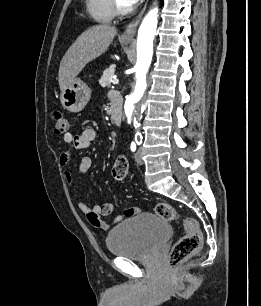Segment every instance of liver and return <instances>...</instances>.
<instances>
[{
    "label": "liver",
    "instance_id": "liver-1",
    "mask_svg": "<svg viewBox=\"0 0 261 306\" xmlns=\"http://www.w3.org/2000/svg\"><path fill=\"white\" fill-rule=\"evenodd\" d=\"M117 29L110 25H96L84 31L63 56L58 74L61 91L68 87L91 61L109 48Z\"/></svg>",
    "mask_w": 261,
    "mask_h": 306
}]
</instances>
